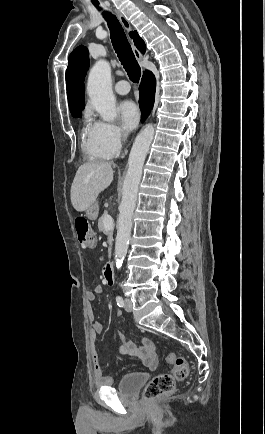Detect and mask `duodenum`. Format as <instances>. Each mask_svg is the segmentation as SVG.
Masks as SVG:
<instances>
[{"label":"duodenum","mask_w":265,"mask_h":434,"mask_svg":"<svg viewBox=\"0 0 265 434\" xmlns=\"http://www.w3.org/2000/svg\"><path fill=\"white\" fill-rule=\"evenodd\" d=\"M114 266L112 263H107L104 267V280L107 284H113L114 281Z\"/></svg>","instance_id":"duodenum-1"}]
</instances>
